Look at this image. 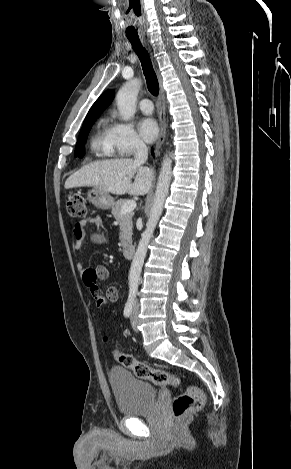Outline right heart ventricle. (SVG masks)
<instances>
[{"label":"right heart ventricle","mask_w":291,"mask_h":469,"mask_svg":"<svg viewBox=\"0 0 291 469\" xmlns=\"http://www.w3.org/2000/svg\"><path fill=\"white\" fill-rule=\"evenodd\" d=\"M108 126L105 120L101 119L96 127L91 139L90 147L92 152L101 157H110L114 154L108 140Z\"/></svg>","instance_id":"right-heart-ventricle-1"}]
</instances>
